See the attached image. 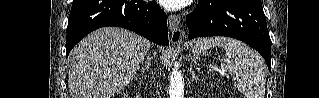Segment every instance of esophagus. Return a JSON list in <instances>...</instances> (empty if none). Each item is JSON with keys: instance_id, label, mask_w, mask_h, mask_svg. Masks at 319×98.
<instances>
[{"instance_id": "esophagus-1", "label": "esophagus", "mask_w": 319, "mask_h": 98, "mask_svg": "<svg viewBox=\"0 0 319 98\" xmlns=\"http://www.w3.org/2000/svg\"><path fill=\"white\" fill-rule=\"evenodd\" d=\"M180 22H181V19L178 15L176 14L169 15L168 27L171 32L170 41L174 44L175 43L178 44L182 42V38L184 36L183 30L180 28Z\"/></svg>"}]
</instances>
